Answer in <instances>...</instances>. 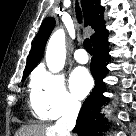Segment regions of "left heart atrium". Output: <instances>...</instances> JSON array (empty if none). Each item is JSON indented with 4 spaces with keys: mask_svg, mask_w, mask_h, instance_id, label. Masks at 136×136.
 <instances>
[{
    "mask_svg": "<svg viewBox=\"0 0 136 136\" xmlns=\"http://www.w3.org/2000/svg\"><path fill=\"white\" fill-rule=\"evenodd\" d=\"M93 81L84 68H77L71 75V89L77 98H83L90 91Z\"/></svg>",
    "mask_w": 136,
    "mask_h": 136,
    "instance_id": "1",
    "label": "left heart atrium"
}]
</instances>
